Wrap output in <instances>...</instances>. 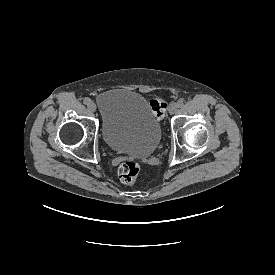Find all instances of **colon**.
<instances>
[{
    "instance_id": "obj_1",
    "label": "colon",
    "mask_w": 275,
    "mask_h": 275,
    "mask_svg": "<svg viewBox=\"0 0 275 275\" xmlns=\"http://www.w3.org/2000/svg\"><path fill=\"white\" fill-rule=\"evenodd\" d=\"M150 108L156 113L157 118L161 119L165 115L167 104L164 100L156 98L149 102ZM140 173V166L137 162L126 161L122 163L118 169V175L120 180L124 184H133Z\"/></svg>"
}]
</instances>
